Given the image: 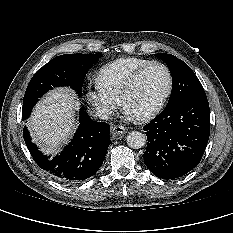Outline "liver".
I'll return each instance as SVG.
<instances>
[{
	"mask_svg": "<svg viewBox=\"0 0 233 233\" xmlns=\"http://www.w3.org/2000/svg\"><path fill=\"white\" fill-rule=\"evenodd\" d=\"M79 103L69 89H58L40 101L28 126L33 140L46 154L56 153L71 138L76 124Z\"/></svg>",
	"mask_w": 233,
	"mask_h": 233,
	"instance_id": "obj_1",
	"label": "liver"
}]
</instances>
